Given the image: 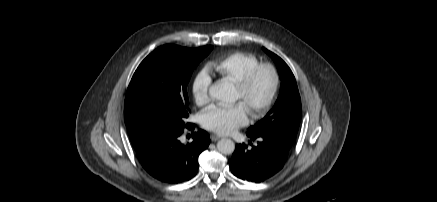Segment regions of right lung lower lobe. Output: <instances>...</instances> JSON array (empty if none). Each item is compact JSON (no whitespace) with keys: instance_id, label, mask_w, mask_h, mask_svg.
Segmentation results:
<instances>
[{"instance_id":"right-lung-lower-lobe-1","label":"right lung lower lobe","mask_w":437,"mask_h":202,"mask_svg":"<svg viewBox=\"0 0 437 202\" xmlns=\"http://www.w3.org/2000/svg\"><path fill=\"white\" fill-rule=\"evenodd\" d=\"M194 127V124H186L181 129H173L136 150L143 168L165 183H180L194 177L199 167L198 156L210 144L208 133L201 129L194 133L192 142H180L184 129Z\"/></svg>"}]
</instances>
